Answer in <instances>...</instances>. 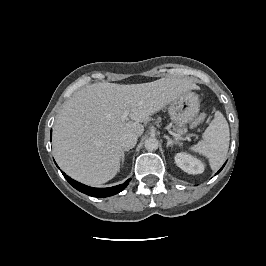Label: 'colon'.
<instances>
[{
	"instance_id": "5ec220e1",
	"label": "colon",
	"mask_w": 266,
	"mask_h": 266,
	"mask_svg": "<svg viewBox=\"0 0 266 266\" xmlns=\"http://www.w3.org/2000/svg\"><path fill=\"white\" fill-rule=\"evenodd\" d=\"M206 118L205 114H200L199 116H197L192 122H191V127H196L198 125H200Z\"/></svg>"
}]
</instances>
